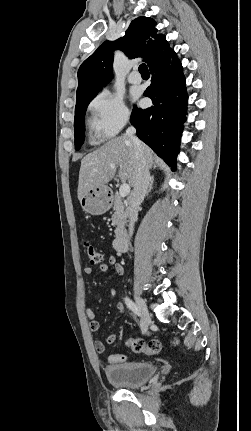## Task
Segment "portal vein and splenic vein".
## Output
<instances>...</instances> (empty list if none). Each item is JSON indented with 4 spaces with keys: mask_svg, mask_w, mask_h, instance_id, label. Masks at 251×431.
<instances>
[{
    "mask_svg": "<svg viewBox=\"0 0 251 431\" xmlns=\"http://www.w3.org/2000/svg\"><path fill=\"white\" fill-rule=\"evenodd\" d=\"M114 167V166H111ZM94 171H97V169H94ZM130 193V186L126 183H123L119 188V195L121 197H126Z\"/></svg>",
    "mask_w": 251,
    "mask_h": 431,
    "instance_id": "18ae733b",
    "label": "portal vein and splenic vein"
}]
</instances>
